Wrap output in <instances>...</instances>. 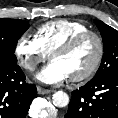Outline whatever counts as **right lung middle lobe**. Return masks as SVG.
I'll return each mask as SVG.
<instances>
[{
  "label": "right lung middle lobe",
  "instance_id": "right-lung-middle-lobe-1",
  "mask_svg": "<svg viewBox=\"0 0 118 118\" xmlns=\"http://www.w3.org/2000/svg\"><path fill=\"white\" fill-rule=\"evenodd\" d=\"M29 26V23L23 20L0 19V64H17L14 54L16 44Z\"/></svg>",
  "mask_w": 118,
  "mask_h": 118
}]
</instances>
